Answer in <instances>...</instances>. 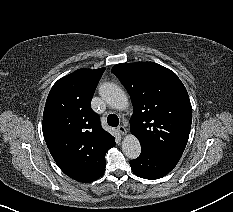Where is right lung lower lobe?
I'll return each mask as SVG.
<instances>
[{"mask_svg":"<svg viewBox=\"0 0 233 212\" xmlns=\"http://www.w3.org/2000/svg\"><path fill=\"white\" fill-rule=\"evenodd\" d=\"M114 145H115V141L112 143V147H113ZM104 171H105V166H104V168L102 169V172H101V175H100V176L103 175ZM100 176H99V177H100Z\"/></svg>","mask_w":233,"mask_h":212,"instance_id":"1","label":"right lung lower lobe"}]
</instances>
